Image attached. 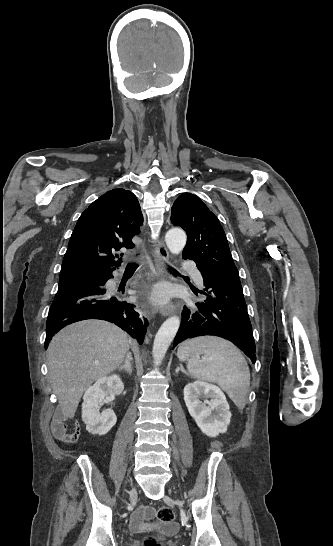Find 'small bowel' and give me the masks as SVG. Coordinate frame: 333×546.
Instances as JSON below:
<instances>
[{
    "label": "small bowel",
    "instance_id": "small-bowel-1",
    "mask_svg": "<svg viewBox=\"0 0 333 546\" xmlns=\"http://www.w3.org/2000/svg\"><path fill=\"white\" fill-rule=\"evenodd\" d=\"M52 432L60 441L66 442V443H74L78 440L81 429L79 425H76L72 432H67V425L65 422V419L63 418H55L52 421ZM154 517V509L150 506H143L140 509H138L132 516L130 521V528L133 531H140L144 529L148 522L152 520ZM175 528V525H167L166 529L171 530Z\"/></svg>",
    "mask_w": 333,
    "mask_h": 546
}]
</instances>
